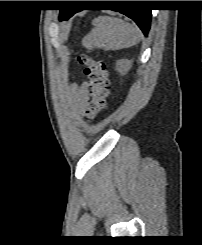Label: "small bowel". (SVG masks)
Returning a JSON list of instances; mask_svg holds the SVG:
<instances>
[{"mask_svg": "<svg viewBox=\"0 0 202 245\" xmlns=\"http://www.w3.org/2000/svg\"><path fill=\"white\" fill-rule=\"evenodd\" d=\"M85 90H86V84H82L81 86H77L74 84L70 86V91L76 95V98L78 100L83 99L85 95Z\"/></svg>", "mask_w": 202, "mask_h": 245, "instance_id": "small-bowel-1", "label": "small bowel"}]
</instances>
